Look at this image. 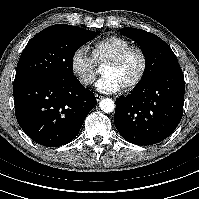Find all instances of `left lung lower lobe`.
I'll return each mask as SVG.
<instances>
[{
	"label": "left lung lower lobe",
	"instance_id": "1",
	"mask_svg": "<svg viewBox=\"0 0 199 199\" xmlns=\"http://www.w3.org/2000/svg\"><path fill=\"white\" fill-rule=\"evenodd\" d=\"M185 82L179 64L168 67L127 97L116 100L114 123L130 143L152 145L167 138L183 114Z\"/></svg>",
	"mask_w": 199,
	"mask_h": 199
}]
</instances>
